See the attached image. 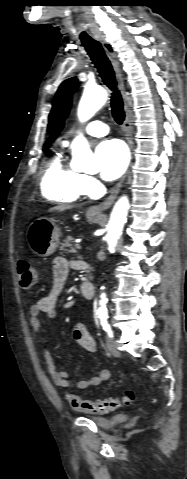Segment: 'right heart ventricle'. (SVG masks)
Returning <instances> with one entry per match:
<instances>
[{"label":"right heart ventricle","instance_id":"e07e8e85","mask_svg":"<svg viewBox=\"0 0 187 479\" xmlns=\"http://www.w3.org/2000/svg\"><path fill=\"white\" fill-rule=\"evenodd\" d=\"M81 179L82 174L65 162L60 150L46 163L40 182L41 194L53 202H74L84 193Z\"/></svg>","mask_w":187,"mask_h":479}]
</instances>
